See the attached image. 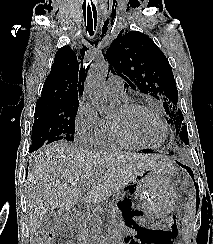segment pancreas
<instances>
[{
  "label": "pancreas",
  "instance_id": "obj_1",
  "mask_svg": "<svg viewBox=\"0 0 213 244\" xmlns=\"http://www.w3.org/2000/svg\"><path fill=\"white\" fill-rule=\"evenodd\" d=\"M78 232L83 241L82 244H89V242L95 239L98 234L96 221L92 218L85 219L80 223Z\"/></svg>",
  "mask_w": 213,
  "mask_h": 244
}]
</instances>
